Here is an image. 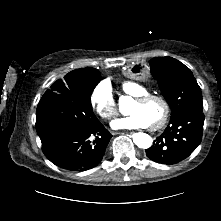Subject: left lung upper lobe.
<instances>
[{"label": "left lung upper lobe", "mask_w": 221, "mask_h": 221, "mask_svg": "<svg viewBox=\"0 0 221 221\" xmlns=\"http://www.w3.org/2000/svg\"><path fill=\"white\" fill-rule=\"evenodd\" d=\"M151 73L172 109V117L192 109L203 108L202 93L191 70L172 57H155L149 61ZM175 142L165 148V155L175 154Z\"/></svg>", "instance_id": "obj_1"}]
</instances>
